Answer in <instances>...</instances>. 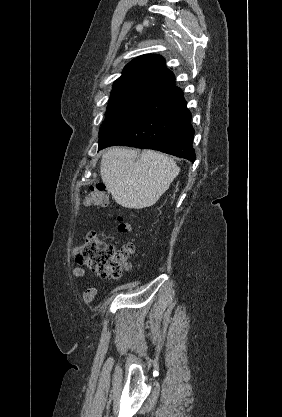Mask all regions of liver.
<instances>
[{"instance_id":"obj_1","label":"liver","mask_w":282,"mask_h":417,"mask_svg":"<svg viewBox=\"0 0 282 417\" xmlns=\"http://www.w3.org/2000/svg\"><path fill=\"white\" fill-rule=\"evenodd\" d=\"M114 146L104 152L100 162L101 178L114 200L126 209H144L155 204L180 172L175 160L155 150ZM137 158V160H136Z\"/></svg>"}]
</instances>
